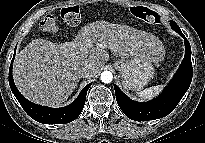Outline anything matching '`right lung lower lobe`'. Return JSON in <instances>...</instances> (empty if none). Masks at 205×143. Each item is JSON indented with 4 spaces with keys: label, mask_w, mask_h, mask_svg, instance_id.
<instances>
[{
    "label": "right lung lower lobe",
    "mask_w": 205,
    "mask_h": 143,
    "mask_svg": "<svg viewBox=\"0 0 205 143\" xmlns=\"http://www.w3.org/2000/svg\"><path fill=\"white\" fill-rule=\"evenodd\" d=\"M14 56L12 62L14 60ZM9 85L24 111L31 118L43 124H65L75 120L84 108L87 91L91 86V84L86 85L80 92L77 99L70 105L62 108H50L30 102L18 91L12 77V63L9 68Z\"/></svg>",
    "instance_id": "obj_1"
}]
</instances>
